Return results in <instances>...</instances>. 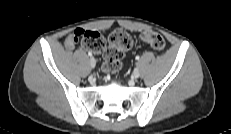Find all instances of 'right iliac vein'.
I'll list each match as a JSON object with an SVG mask.
<instances>
[{
    "label": "right iliac vein",
    "mask_w": 231,
    "mask_h": 134,
    "mask_svg": "<svg viewBox=\"0 0 231 134\" xmlns=\"http://www.w3.org/2000/svg\"><path fill=\"white\" fill-rule=\"evenodd\" d=\"M89 63H90V66H91L92 68H94L95 65H96V61H95V59H94L93 57L90 58Z\"/></svg>",
    "instance_id": "63e3f726"
}]
</instances>
